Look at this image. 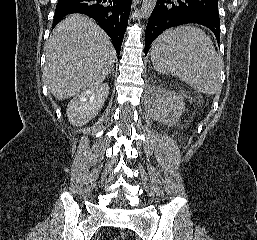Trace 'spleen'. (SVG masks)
<instances>
[{
	"instance_id": "obj_1",
	"label": "spleen",
	"mask_w": 257,
	"mask_h": 240,
	"mask_svg": "<svg viewBox=\"0 0 257 240\" xmlns=\"http://www.w3.org/2000/svg\"><path fill=\"white\" fill-rule=\"evenodd\" d=\"M156 71L172 75L204 94L221 90L222 62L201 29L181 26L163 32L151 46Z\"/></svg>"
}]
</instances>
